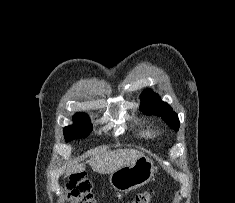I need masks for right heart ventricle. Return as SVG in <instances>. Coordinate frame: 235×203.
<instances>
[{
  "label": "right heart ventricle",
  "instance_id": "1",
  "mask_svg": "<svg viewBox=\"0 0 235 203\" xmlns=\"http://www.w3.org/2000/svg\"><path fill=\"white\" fill-rule=\"evenodd\" d=\"M153 135V132L151 130H144L143 136L150 137Z\"/></svg>",
  "mask_w": 235,
  "mask_h": 203
}]
</instances>
